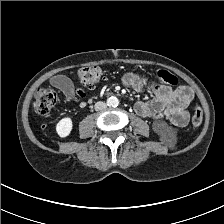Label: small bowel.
<instances>
[{
    "mask_svg": "<svg viewBox=\"0 0 224 224\" xmlns=\"http://www.w3.org/2000/svg\"><path fill=\"white\" fill-rule=\"evenodd\" d=\"M122 82L126 87L148 90L153 94V99L135 104V112L139 116L153 120L167 119L178 127H184L187 124L186 108L194 97L190 87L179 86L173 90L168 86L152 84L146 77L135 72L126 73ZM51 84L58 88L67 99H75V88L69 78L55 76L51 79Z\"/></svg>",
    "mask_w": 224,
    "mask_h": 224,
    "instance_id": "1",
    "label": "small bowel"
}]
</instances>
